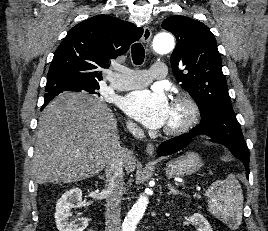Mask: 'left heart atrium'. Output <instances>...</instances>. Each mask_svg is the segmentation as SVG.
I'll list each match as a JSON object with an SVG mask.
<instances>
[{
    "mask_svg": "<svg viewBox=\"0 0 268 231\" xmlns=\"http://www.w3.org/2000/svg\"><path fill=\"white\" fill-rule=\"evenodd\" d=\"M122 106L127 115L151 129L164 126L170 112L168 98L160 88L134 91L124 98Z\"/></svg>",
    "mask_w": 268,
    "mask_h": 231,
    "instance_id": "39dd6f15",
    "label": "left heart atrium"
}]
</instances>
